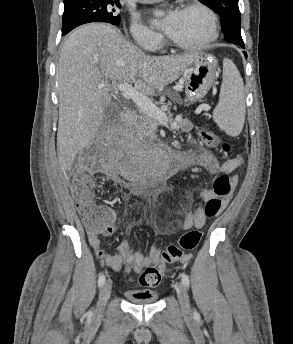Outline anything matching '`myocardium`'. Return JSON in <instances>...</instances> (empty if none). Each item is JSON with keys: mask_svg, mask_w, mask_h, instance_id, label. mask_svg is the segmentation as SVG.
Wrapping results in <instances>:
<instances>
[{"mask_svg": "<svg viewBox=\"0 0 293 344\" xmlns=\"http://www.w3.org/2000/svg\"><path fill=\"white\" fill-rule=\"evenodd\" d=\"M189 10H200L208 17L209 23H210V32L208 36L201 41L193 42V43H185V42L176 41L170 38L169 36H167L166 38L167 43L168 45L180 50L204 49L210 46L211 44H213L219 36L218 17L216 13L210 7L198 1H191L189 3L182 5L178 9V12L189 11Z\"/></svg>", "mask_w": 293, "mask_h": 344, "instance_id": "f54148a6", "label": "myocardium"}]
</instances>
